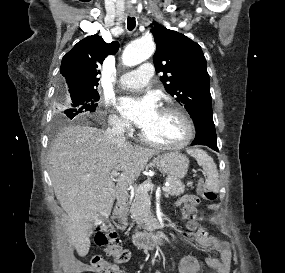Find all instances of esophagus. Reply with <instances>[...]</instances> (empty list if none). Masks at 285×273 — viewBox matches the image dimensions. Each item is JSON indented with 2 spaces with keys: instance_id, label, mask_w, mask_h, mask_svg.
Returning a JSON list of instances; mask_svg holds the SVG:
<instances>
[{
  "instance_id": "obj_1",
  "label": "esophagus",
  "mask_w": 285,
  "mask_h": 273,
  "mask_svg": "<svg viewBox=\"0 0 285 273\" xmlns=\"http://www.w3.org/2000/svg\"><path fill=\"white\" fill-rule=\"evenodd\" d=\"M129 15L133 16L134 15V11H129Z\"/></svg>"
}]
</instances>
